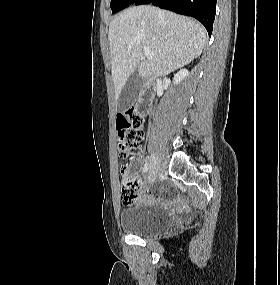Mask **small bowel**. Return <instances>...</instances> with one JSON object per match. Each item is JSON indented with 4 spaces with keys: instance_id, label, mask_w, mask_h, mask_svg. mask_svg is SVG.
<instances>
[{
    "instance_id": "c3829d8e",
    "label": "small bowel",
    "mask_w": 280,
    "mask_h": 285,
    "mask_svg": "<svg viewBox=\"0 0 280 285\" xmlns=\"http://www.w3.org/2000/svg\"><path fill=\"white\" fill-rule=\"evenodd\" d=\"M134 164L136 166H139L141 164L140 160H135ZM137 183H138V191H137V199L139 201H143V202H148V203H156L160 200V198L150 192H148L145 188V186L143 185L141 179L138 176H133ZM160 190L162 191L163 188H160Z\"/></svg>"
}]
</instances>
